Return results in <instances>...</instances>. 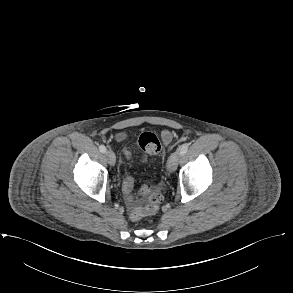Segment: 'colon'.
<instances>
[{
  "mask_svg": "<svg viewBox=\"0 0 293 293\" xmlns=\"http://www.w3.org/2000/svg\"><path fill=\"white\" fill-rule=\"evenodd\" d=\"M139 145L146 155L152 156L160 153L162 150V144L159 138L150 131L143 132L139 137ZM133 188V179L128 177L123 182L124 193L131 195ZM163 200V190L160 186L152 181H146L142 183L139 191V195L136 199L132 197L130 217L132 220H139L147 213H154L158 209ZM147 201L149 207L143 209L138 206L139 203Z\"/></svg>",
  "mask_w": 293,
  "mask_h": 293,
  "instance_id": "1",
  "label": "colon"
}]
</instances>
